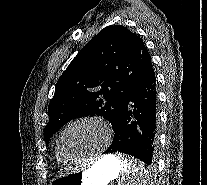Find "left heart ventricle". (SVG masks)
Instances as JSON below:
<instances>
[{"label": "left heart ventricle", "instance_id": "left-heart-ventricle-1", "mask_svg": "<svg viewBox=\"0 0 207 185\" xmlns=\"http://www.w3.org/2000/svg\"><path fill=\"white\" fill-rule=\"evenodd\" d=\"M107 138L105 130L98 123L84 121L67 131L64 148L72 158L78 159L100 151Z\"/></svg>", "mask_w": 207, "mask_h": 185}]
</instances>
